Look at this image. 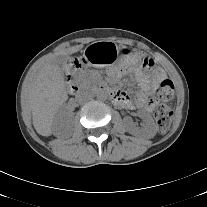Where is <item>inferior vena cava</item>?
<instances>
[{
  "instance_id": "inferior-vena-cava-1",
  "label": "inferior vena cava",
  "mask_w": 207,
  "mask_h": 207,
  "mask_svg": "<svg viewBox=\"0 0 207 207\" xmlns=\"http://www.w3.org/2000/svg\"><path fill=\"white\" fill-rule=\"evenodd\" d=\"M91 98H92V93L89 91H81L75 97L78 103L88 102Z\"/></svg>"
}]
</instances>
